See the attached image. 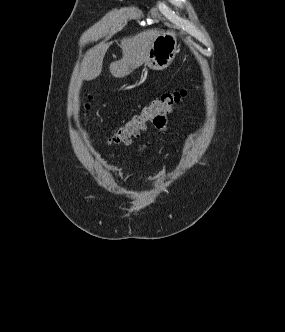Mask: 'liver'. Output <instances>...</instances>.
<instances>
[{
	"instance_id": "1",
	"label": "liver",
	"mask_w": 285,
	"mask_h": 332,
	"mask_svg": "<svg viewBox=\"0 0 285 332\" xmlns=\"http://www.w3.org/2000/svg\"><path fill=\"white\" fill-rule=\"evenodd\" d=\"M160 33L161 31L157 29H150L132 37L123 38L120 44L122 58L110 64V73L115 78H123L145 63L152 44ZM108 47V43H100L86 53L80 67V74L84 80L89 81L100 75Z\"/></svg>"
}]
</instances>
